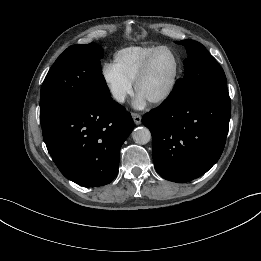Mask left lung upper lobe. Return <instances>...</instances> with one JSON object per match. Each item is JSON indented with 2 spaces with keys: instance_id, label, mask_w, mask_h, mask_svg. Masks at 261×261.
<instances>
[{
  "instance_id": "obj_1",
  "label": "left lung upper lobe",
  "mask_w": 261,
  "mask_h": 261,
  "mask_svg": "<svg viewBox=\"0 0 261 261\" xmlns=\"http://www.w3.org/2000/svg\"><path fill=\"white\" fill-rule=\"evenodd\" d=\"M175 43L186 47L188 57L183 62L185 75L176 82L170 98L184 102L202 89L226 84L223 69L201 43L194 40Z\"/></svg>"
}]
</instances>
